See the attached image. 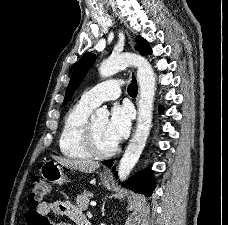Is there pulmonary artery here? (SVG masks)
Wrapping results in <instances>:
<instances>
[{
    "label": "pulmonary artery",
    "instance_id": "e3ab8cb5",
    "mask_svg": "<svg viewBox=\"0 0 228 225\" xmlns=\"http://www.w3.org/2000/svg\"><path fill=\"white\" fill-rule=\"evenodd\" d=\"M120 90H124V85H110V81H101V85H95V89L85 91L81 100L96 107L104 101L118 98Z\"/></svg>",
    "mask_w": 228,
    "mask_h": 225
}]
</instances>
